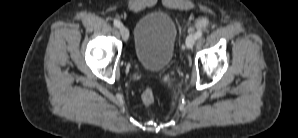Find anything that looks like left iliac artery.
Segmentation results:
<instances>
[{
  "label": "left iliac artery",
  "mask_w": 298,
  "mask_h": 138,
  "mask_svg": "<svg viewBox=\"0 0 298 138\" xmlns=\"http://www.w3.org/2000/svg\"><path fill=\"white\" fill-rule=\"evenodd\" d=\"M202 34H203L202 30H198V31L195 33V36H196V38L198 39V38H200V37L202 36Z\"/></svg>",
  "instance_id": "1"
}]
</instances>
